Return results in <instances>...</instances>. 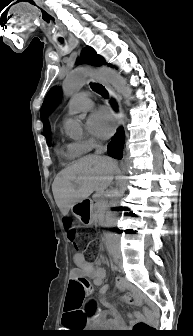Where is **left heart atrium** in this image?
I'll return each instance as SVG.
<instances>
[{"mask_svg":"<svg viewBox=\"0 0 193 336\" xmlns=\"http://www.w3.org/2000/svg\"><path fill=\"white\" fill-rule=\"evenodd\" d=\"M86 125L92 135L106 139L114 130L115 120L108 110L99 109L88 117Z\"/></svg>","mask_w":193,"mask_h":336,"instance_id":"left-heart-atrium-1","label":"left heart atrium"}]
</instances>
